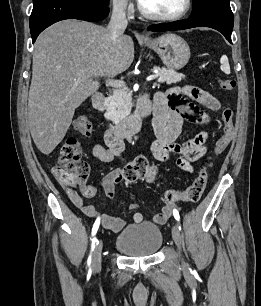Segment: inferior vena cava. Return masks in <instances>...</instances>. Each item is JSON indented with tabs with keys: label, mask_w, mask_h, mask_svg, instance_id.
<instances>
[{
	"label": "inferior vena cava",
	"mask_w": 261,
	"mask_h": 306,
	"mask_svg": "<svg viewBox=\"0 0 261 306\" xmlns=\"http://www.w3.org/2000/svg\"><path fill=\"white\" fill-rule=\"evenodd\" d=\"M127 25L128 21L124 5L122 3H115L113 5L111 20L107 27L112 41H116V39L124 33Z\"/></svg>",
	"instance_id": "inferior-vena-cava-1"
}]
</instances>
